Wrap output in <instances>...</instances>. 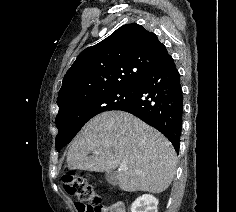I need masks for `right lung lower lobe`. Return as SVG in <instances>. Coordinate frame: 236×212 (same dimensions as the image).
<instances>
[{"instance_id":"98d812e1","label":"right lung lower lobe","mask_w":236,"mask_h":212,"mask_svg":"<svg viewBox=\"0 0 236 212\" xmlns=\"http://www.w3.org/2000/svg\"><path fill=\"white\" fill-rule=\"evenodd\" d=\"M135 96L117 110L129 112L158 129L179 151L183 116L180 74L166 52L138 83Z\"/></svg>"}]
</instances>
